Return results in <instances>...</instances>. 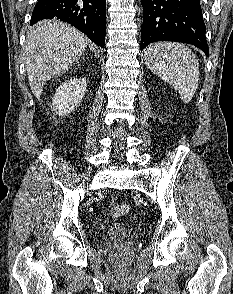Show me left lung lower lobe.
Instances as JSON below:
<instances>
[{
  "label": "left lung lower lobe",
  "instance_id": "0a47b994",
  "mask_svg": "<svg viewBox=\"0 0 233 294\" xmlns=\"http://www.w3.org/2000/svg\"><path fill=\"white\" fill-rule=\"evenodd\" d=\"M141 51L156 41L192 44L209 56L199 0H142Z\"/></svg>",
  "mask_w": 233,
  "mask_h": 294
}]
</instances>
